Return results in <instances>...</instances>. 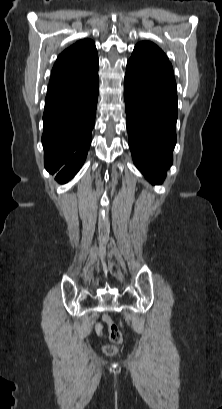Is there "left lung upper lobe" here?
<instances>
[{"instance_id":"left-lung-upper-lobe-1","label":"left lung upper lobe","mask_w":222,"mask_h":409,"mask_svg":"<svg viewBox=\"0 0 222 409\" xmlns=\"http://www.w3.org/2000/svg\"><path fill=\"white\" fill-rule=\"evenodd\" d=\"M126 73L157 83L176 92L171 63L164 52L149 41L139 42L127 63Z\"/></svg>"}]
</instances>
